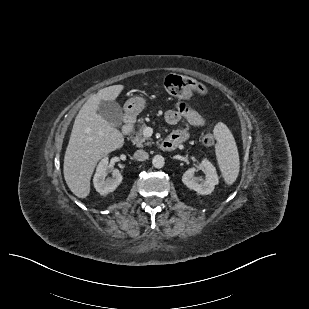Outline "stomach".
I'll return each instance as SVG.
<instances>
[{
	"instance_id": "obj_1",
	"label": "stomach",
	"mask_w": 309,
	"mask_h": 309,
	"mask_svg": "<svg viewBox=\"0 0 309 309\" xmlns=\"http://www.w3.org/2000/svg\"><path fill=\"white\" fill-rule=\"evenodd\" d=\"M146 100L143 97H133L124 104L125 114L128 118H135L145 107Z\"/></svg>"
}]
</instances>
